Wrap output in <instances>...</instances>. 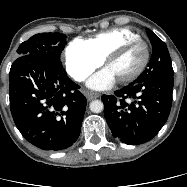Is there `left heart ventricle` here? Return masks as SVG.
I'll list each match as a JSON object with an SVG mask.
<instances>
[{
	"label": "left heart ventricle",
	"instance_id": "left-heart-ventricle-1",
	"mask_svg": "<svg viewBox=\"0 0 187 187\" xmlns=\"http://www.w3.org/2000/svg\"><path fill=\"white\" fill-rule=\"evenodd\" d=\"M145 53V46L136 43L130 46L121 56L110 61L107 68L117 79H121L132 74L141 65Z\"/></svg>",
	"mask_w": 187,
	"mask_h": 187
}]
</instances>
